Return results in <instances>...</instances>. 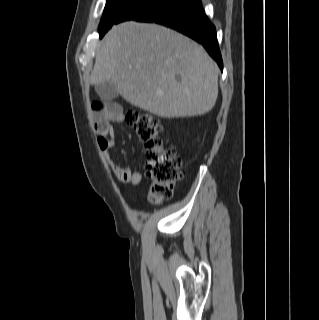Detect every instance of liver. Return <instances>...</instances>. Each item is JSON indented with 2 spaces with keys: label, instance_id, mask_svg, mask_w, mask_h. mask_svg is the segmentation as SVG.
Returning a JSON list of instances; mask_svg holds the SVG:
<instances>
[{
  "label": "liver",
  "instance_id": "obj_1",
  "mask_svg": "<svg viewBox=\"0 0 319 320\" xmlns=\"http://www.w3.org/2000/svg\"><path fill=\"white\" fill-rule=\"evenodd\" d=\"M218 75L216 63L190 38L161 25L128 21L104 37L90 82L110 81L130 104L178 118L214 107Z\"/></svg>",
  "mask_w": 319,
  "mask_h": 320
}]
</instances>
